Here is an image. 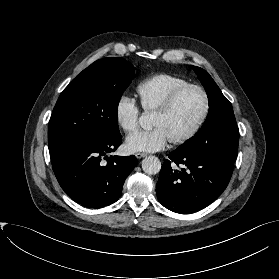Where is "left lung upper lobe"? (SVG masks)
Segmentation results:
<instances>
[{
	"mask_svg": "<svg viewBox=\"0 0 279 279\" xmlns=\"http://www.w3.org/2000/svg\"><path fill=\"white\" fill-rule=\"evenodd\" d=\"M193 69L206 90L210 109L196 137L176 151L189 157L213 155L234 164L238 154L239 129L232 105L204 69L196 66Z\"/></svg>",
	"mask_w": 279,
	"mask_h": 279,
	"instance_id": "5c2ea615",
	"label": "left lung upper lobe"
}]
</instances>
